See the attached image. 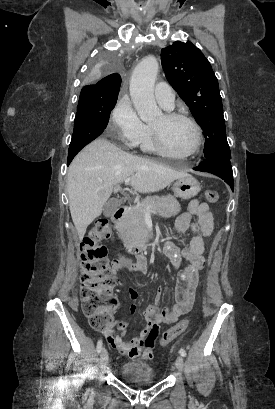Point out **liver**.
Here are the masks:
<instances>
[{
  "mask_svg": "<svg viewBox=\"0 0 275 409\" xmlns=\"http://www.w3.org/2000/svg\"><path fill=\"white\" fill-rule=\"evenodd\" d=\"M187 174L129 154L107 138H96L76 154L67 174L69 209L80 241L88 225L100 217L113 190H121L119 184L127 176H131L135 190L156 192Z\"/></svg>",
  "mask_w": 275,
  "mask_h": 409,
  "instance_id": "liver-1",
  "label": "liver"
}]
</instances>
